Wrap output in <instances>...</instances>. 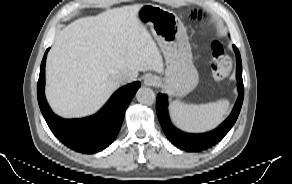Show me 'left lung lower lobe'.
<instances>
[{
  "instance_id": "1",
  "label": "left lung lower lobe",
  "mask_w": 292,
  "mask_h": 184,
  "mask_svg": "<svg viewBox=\"0 0 292 184\" xmlns=\"http://www.w3.org/2000/svg\"><path fill=\"white\" fill-rule=\"evenodd\" d=\"M241 74H242L241 64H239V76L237 73V77L239 81L240 95L235 107L237 106L238 102L240 103L238 105L236 114L232 117L231 121H229L227 124L226 122L228 121L230 117L224 123H222L216 130L211 131L206 134H199V135L187 134L173 127L166 117L167 103L165 100V96L163 94H158L157 103H156V111H157L158 119L160 121L162 129L164 133L166 134V136L168 137V139L177 147L181 149H185L187 151H199L202 149H206L208 147H211L218 141H220L225 136V134L229 131L232 125L235 123L238 117L239 111L241 109L242 97H243V82H242V78L240 77ZM240 86H241V89H240ZM224 124L226 125L223 127Z\"/></svg>"
}]
</instances>
